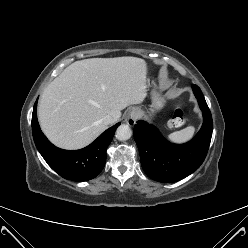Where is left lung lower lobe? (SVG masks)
<instances>
[{"instance_id": "1", "label": "left lung lower lobe", "mask_w": 248, "mask_h": 248, "mask_svg": "<svg viewBox=\"0 0 248 248\" xmlns=\"http://www.w3.org/2000/svg\"><path fill=\"white\" fill-rule=\"evenodd\" d=\"M192 88L204 122L191 141L181 145L172 144L164 139L156 127L145 121H138L134 127L142 168L155 181H179L197 170L206 157L213 130L212 116L200 88L196 85Z\"/></svg>"}]
</instances>
